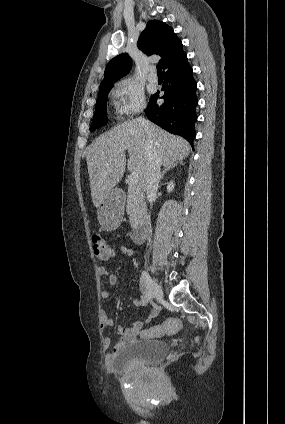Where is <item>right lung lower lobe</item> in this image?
Masks as SVG:
<instances>
[{
	"mask_svg": "<svg viewBox=\"0 0 285 424\" xmlns=\"http://www.w3.org/2000/svg\"><path fill=\"white\" fill-rule=\"evenodd\" d=\"M197 83L187 58L164 72V103H156L159 91L151 96L145 110L147 117L170 133L180 135L193 145L196 136L194 123L197 120L195 108Z\"/></svg>",
	"mask_w": 285,
	"mask_h": 424,
	"instance_id": "right-lung-lower-lobe-1",
	"label": "right lung lower lobe"
}]
</instances>
